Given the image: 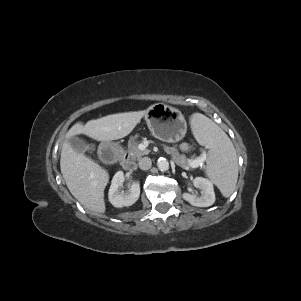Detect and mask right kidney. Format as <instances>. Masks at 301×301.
I'll return each mask as SVG.
<instances>
[{"label":"right kidney","mask_w":301,"mask_h":301,"mask_svg":"<svg viewBox=\"0 0 301 301\" xmlns=\"http://www.w3.org/2000/svg\"><path fill=\"white\" fill-rule=\"evenodd\" d=\"M125 178L122 171H118L111 182L108 193L109 202L116 208L129 207L133 205L140 196V184L135 182L128 192L121 191Z\"/></svg>","instance_id":"ca27d5eb"}]
</instances>
